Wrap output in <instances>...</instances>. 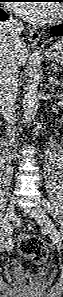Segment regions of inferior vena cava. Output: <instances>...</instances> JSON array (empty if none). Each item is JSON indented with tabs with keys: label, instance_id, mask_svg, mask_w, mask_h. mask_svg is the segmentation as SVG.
I'll return each mask as SVG.
<instances>
[{
	"label": "inferior vena cava",
	"instance_id": "602c4592",
	"mask_svg": "<svg viewBox=\"0 0 63 297\" xmlns=\"http://www.w3.org/2000/svg\"><path fill=\"white\" fill-rule=\"evenodd\" d=\"M22 30L23 25L13 17L0 25L1 35L7 37L11 43L9 54L6 57L1 56L0 60V106L6 123L7 135L12 143L15 137V101L18 83V66L14 47L22 42L20 37Z\"/></svg>",
	"mask_w": 63,
	"mask_h": 297
}]
</instances>
